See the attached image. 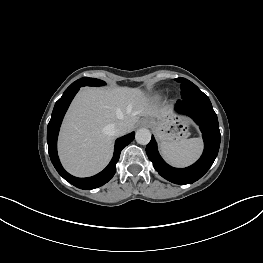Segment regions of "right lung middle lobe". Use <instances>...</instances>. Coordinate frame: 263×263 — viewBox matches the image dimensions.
<instances>
[{
	"mask_svg": "<svg viewBox=\"0 0 263 263\" xmlns=\"http://www.w3.org/2000/svg\"><path fill=\"white\" fill-rule=\"evenodd\" d=\"M105 82L102 81V80H99V79H94V78H88V77H85V78H81L77 81H75L74 83H72L66 90H69L71 88H74L76 86H101V85H104Z\"/></svg>",
	"mask_w": 263,
	"mask_h": 263,
	"instance_id": "dd1d6c3e",
	"label": "right lung middle lobe"
}]
</instances>
